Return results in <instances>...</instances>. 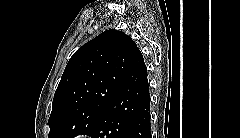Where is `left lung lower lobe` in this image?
Instances as JSON below:
<instances>
[{
  "label": "left lung lower lobe",
  "instance_id": "1",
  "mask_svg": "<svg viewBox=\"0 0 240 138\" xmlns=\"http://www.w3.org/2000/svg\"><path fill=\"white\" fill-rule=\"evenodd\" d=\"M147 68L141 52L100 116L92 138H151Z\"/></svg>",
  "mask_w": 240,
  "mask_h": 138
}]
</instances>
